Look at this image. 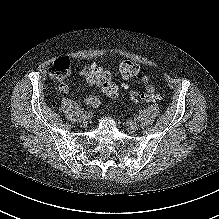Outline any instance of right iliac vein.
Instances as JSON below:
<instances>
[{
	"mask_svg": "<svg viewBox=\"0 0 219 219\" xmlns=\"http://www.w3.org/2000/svg\"><path fill=\"white\" fill-rule=\"evenodd\" d=\"M87 118H88L87 115L82 113V114L79 116V121L84 123V122L87 121Z\"/></svg>",
	"mask_w": 219,
	"mask_h": 219,
	"instance_id": "1",
	"label": "right iliac vein"
}]
</instances>
